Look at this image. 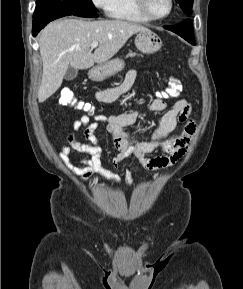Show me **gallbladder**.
Here are the masks:
<instances>
[{
    "label": "gallbladder",
    "instance_id": "gallbladder-1",
    "mask_svg": "<svg viewBox=\"0 0 243 289\" xmlns=\"http://www.w3.org/2000/svg\"><path fill=\"white\" fill-rule=\"evenodd\" d=\"M77 73H78L77 69L70 66L65 73L64 79L67 81H71L74 78H76Z\"/></svg>",
    "mask_w": 243,
    "mask_h": 289
}]
</instances>
